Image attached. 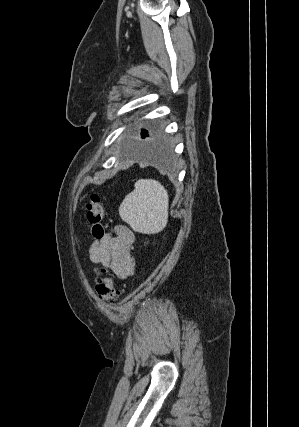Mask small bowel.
<instances>
[{
    "mask_svg": "<svg viewBox=\"0 0 299 427\" xmlns=\"http://www.w3.org/2000/svg\"><path fill=\"white\" fill-rule=\"evenodd\" d=\"M135 242L133 231L124 224L115 225L102 239L91 243L89 261L93 271L100 274L98 265L110 269L117 278L125 279L135 270L132 248Z\"/></svg>",
    "mask_w": 299,
    "mask_h": 427,
    "instance_id": "1",
    "label": "small bowel"
}]
</instances>
